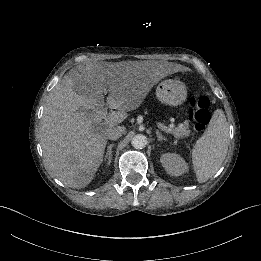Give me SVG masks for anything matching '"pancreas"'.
Segmentation results:
<instances>
[{
    "instance_id": "obj_1",
    "label": "pancreas",
    "mask_w": 261,
    "mask_h": 261,
    "mask_svg": "<svg viewBox=\"0 0 261 261\" xmlns=\"http://www.w3.org/2000/svg\"><path fill=\"white\" fill-rule=\"evenodd\" d=\"M190 130H189V123L188 121H185L182 127H176L172 128L171 134L174 135L176 138H184L188 137L190 135Z\"/></svg>"
}]
</instances>
